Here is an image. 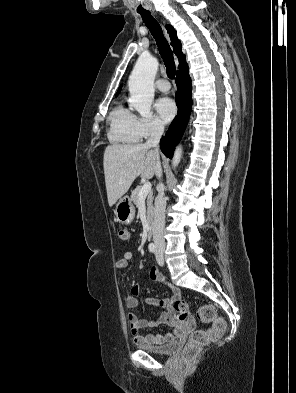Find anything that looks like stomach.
<instances>
[{
	"mask_svg": "<svg viewBox=\"0 0 296 393\" xmlns=\"http://www.w3.org/2000/svg\"><path fill=\"white\" fill-rule=\"evenodd\" d=\"M116 219L122 224H130L135 216V207L128 196L120 198L115 208Z\"/></svg>",
	"mask_w": 296,
	"mask_h": 393,
	"instance_id": "0dacf381",
	"label": "stomach"
}]
</instances>
